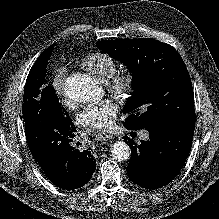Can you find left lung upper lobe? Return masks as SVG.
Returning <instances> with one entry per match:
<instances>
[{
	"label": "left lung upper lobe",
	"instance_id": "obj_1",
	"mask_svg": "<svg viewBox=\"0 0 219 219\" xmlns=\"http://www.w3.org/2000/svg\"><path fill=\"white\" fill-rule=\"evenodd\" d=\"M96 45L132 72L134 92L123 124L134 130L163 131L195 123L194 93L180 54L152 38L102 40Z\"/></svg>",
	"mask_w": 219,
	"mask_h": 219
}]
</instances>
